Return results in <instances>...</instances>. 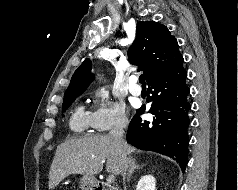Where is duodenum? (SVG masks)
I'll list each match as a JSON object with an SVG mask.
<instances>
[{
  "label": "duodenum",
  "mask_w": 238,
  "mask_h": 190,
  "mask_svg": "<svg viewBox=\"0 0 238 190\" xmlns=\"http://www.w3.org/2000/svg\"><path fill=\"white\" fill-rule=\"evenodd\" d=\"M94 190H116V189L106 183H96L94 184Z\"/></svg>",
  "instance_id": "410a0bca"
}]
</instances>
